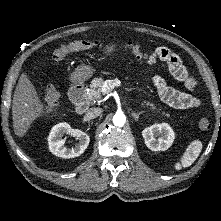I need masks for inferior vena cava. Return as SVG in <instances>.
<instances>
[{
	"instance_id": "obj_1",
	"label": "inferior vena cava",
	"mask_w": 221,
	"mask_h": 221,
	"mask_svg": "<svg viewBox=\"0 0 221 221\" xmlns=\"http://www.w3.org/2000/svg\"><path fill=\"white\" fill-rule=\"evenodd\" d=\"M101 112H102L101 108H98V107L90 108L86 112L85 117L87 119H94V118L98 117L101 114Z\"/></svg>"
}]
</instances>
